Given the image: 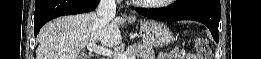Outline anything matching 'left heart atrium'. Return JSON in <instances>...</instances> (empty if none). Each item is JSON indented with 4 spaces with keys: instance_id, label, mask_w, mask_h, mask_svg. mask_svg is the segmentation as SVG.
I'll return each mask as SVG.
<instances>
[{
    "instance_id": "39dd6f15",
    "label": "left heart atrium",
    "mask_w": 261,
    "mask_h": 59,
    "mask_svg": "<svg viewBox=\"0 0 261 59\" xmlns=\"http://www.w3.org/2000/svg\"><path fill=\"white\" fill-rule=\"evenodd\" d=\"M139 2L140 3H146V2L148 3V2H152V1H150V0L149 1L148 0L147 1L146 0H139ZM161 2H163V1H161Z\"/></svg>"
}]
</instances>
